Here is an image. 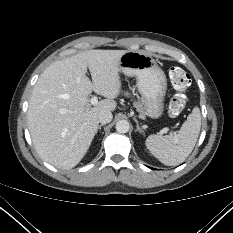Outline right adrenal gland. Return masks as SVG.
<instances>
[{
  "label": "right adrenal gland",
  "mask_w": 233,
  "mask_h": 233,
  "mask_svg": "<svg viewBox=\"0 0 233 233\" xmlns=\"http://www.w3.org/2000/svg\"><path fill=\"white\" fill-rule=\"evenodd\" d=\"M102 126H104V124H101V125L98 126L97 132H98V130L101 131Z\"/></svg>",
  "instance_id": "right-adrenal-gland-1"
}]
</instances>
